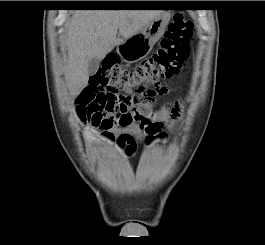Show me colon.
Masks as SVG:
<instances>
[{"label":"colon","instance_id":"1","mask_svg":"<svg viewBox=\"0 0 265 245\" xmlns=\"http://www.w3.org/2000/svg\"><path fill=\"white\" fill-rule=\"evenodd\" d=\"M192 31V21L177 14L159 48L135 68H122L114 54L106 57L89 81L99 94L87 112V119L94 126L93 133L99 127L137 122L148 136L162 134L164 123L147 115L157 98L166 93L161 82L177 76L189 58Z\"/></svg>","mask_w":265,"mask_h":245}]
</instances>
